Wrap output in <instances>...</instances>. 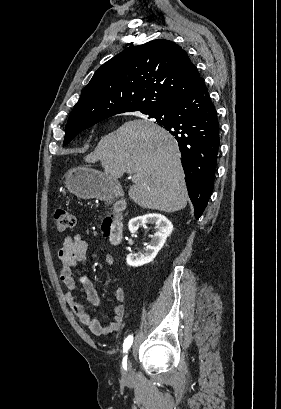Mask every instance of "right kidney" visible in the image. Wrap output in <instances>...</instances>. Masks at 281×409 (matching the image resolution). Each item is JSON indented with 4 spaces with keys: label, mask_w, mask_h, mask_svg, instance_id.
<instances>
[{
    "label": "right kidney",
    "mask_w": 281,
    "mask_h": 409,
    "mask_svg": "<svg viewBox=\"0 0 281 409\" xmlns=\"http://www.w3.org/2000/svg\"><path fill=\"white\" fill-rule=\"evenodd\" d=\"M156 225L154 227L156 233L152 237L149 245L145 247L144 253H130L127 255L126 263L130 267H141V265H147L154 261L157 253L162 249L167 237H170L173 231V225L171 221H168L164 215L159 213H147V215H141V217H134L128 223L130 233H136L139 227L142 225Z\"/></svg>",
    "instance_id": "1"
}]
</instances>
